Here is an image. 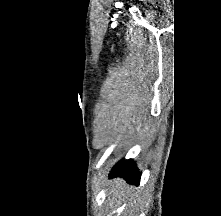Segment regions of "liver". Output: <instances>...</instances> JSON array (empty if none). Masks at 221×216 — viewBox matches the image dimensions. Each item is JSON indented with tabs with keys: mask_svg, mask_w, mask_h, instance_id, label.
I'll return each instance as SVG.
<instances>
[{
	"mask_svg": "<svg viewBox=\"0 0 221 216\" xmlns=\"http://www.w3.org/2000/svg\"><path fill=\"white\" fill-rule=\"evenodd\" d=\"M109 185L110 187L108 189L107 196L109 199L112 197V199H110L111 206H113L114 203H116L115 207L121 206L122 203L130 196L131 199L129 204L132 205L133 202L136 203L135 196H132L133 187L129 186L123 179L116 178L114 180H110Z\"/></svg>",
	"mask_w": 221,
	"mask_h": 216,
	"instance_id": "1",
	"label": "liver"
}]
</instances>
